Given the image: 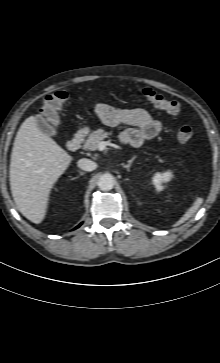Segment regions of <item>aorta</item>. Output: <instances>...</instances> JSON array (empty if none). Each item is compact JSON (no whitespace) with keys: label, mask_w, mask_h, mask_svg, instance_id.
Returning <instances> with one entry per match:
<instances>
[{"label":"aorta","mask_w":220,"mask_h":363,"mask_svg":"<svg viewBox=\"0 0 220 363\" xmlns=\"http://www.w3.org/2000/svg\"><path fill=\"white\" fill-rule=\"evenodd\" d=\"M98 187L100 190L102 191H110L114 184H115V179L114 177L109 174V173H105L103 175L100 176V178L98 179Z\"/></svg>","instance_id":"obj_1"}]
</instances>
